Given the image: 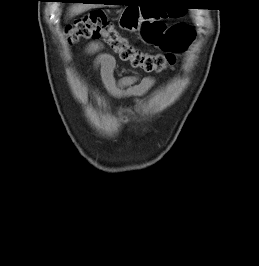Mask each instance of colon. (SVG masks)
<instances>
[{"instance_id":"obj_1","label":"colon","mask_w":259,"mask_h":266,"mask_svg":"<svg viewBox=\"0 0 259 266\" xmlns=\"http://www.w3.org/2000/svg\"><path fill=\"white\" fill-rule=\"evenodd\" d=\"M143 39L164 53L152 54L135 47L124 37L104 12L94 10L76 20L66 31L67 40L105 41L122 60L146 72H162L175 64L176 54L184 52L193 41L194 30L186 24L167 27L156 12L145 15L141 28Z\"/></svg>"}]
</instances>
